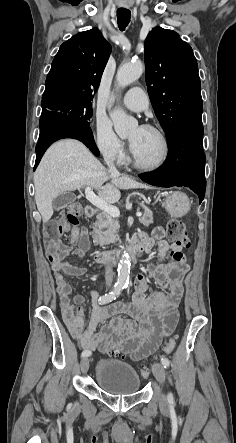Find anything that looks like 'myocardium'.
Segmentation results:
<instances>
[{
  "instance_id": "1",
  "label": "myocardium",
  "mask_w": 236,
  "mask_h": 443,
  "mask_svg": "<svg viewBox=\"0 0 236 443\" xmlns=\"http://www.w3.org/2000/svg\"><path fill=\"white\" fill-rule=\"evenodd\" d=\"M143 128L149 129L158 135L163 147L162 156L156 163L146 164L141 162L132 150V161L135 168L144 172H154L161 169L167 163L170 156V143L167 135L160 127L153 124H146Z\"/></svg>"
}]
</instances>
